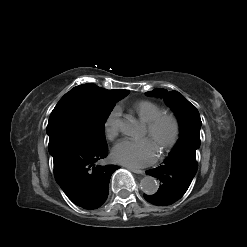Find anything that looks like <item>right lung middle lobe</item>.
Here are the masks:
<instances>
[{
  "instance_id": "dd1d6c3e",
  "label": "right lung middle lobe",
  "mask_w": 247,
  "mask_h": 247,
  "mask_svg": "<svg viewBox=\"0 0 247 247\" xmlns=\"http://www.w3.org/2000/svg\"><path fill=\"white\" fill-rule=\"evenodd\" d=\"M128 94V90H122L106 96L100 91L76 86L53 109L47 133L69 136L92 147H106L105 121L115 103Z\"/></svg>"
}]
</instances>
